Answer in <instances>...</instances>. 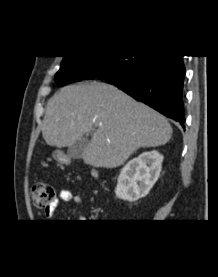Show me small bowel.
<instances>
[{
    "instance_id": "small-bowel-1",
    "label": "small bowel",
    "mask_w": 218,
    "mask_h": 277,
    "mask_svg": "<svg viewBox=\"0 0 218 277\" xmlns=\"http://www.w3.org/2000/svg\"><path fill=\"white\" fill-rule=\"evenodd\" d=\"M61 202H69L76 206L82 205V197L69 189H62L55 197L54 201L45 209L47 218H52Z\"/></svg>"
}]
</instances>
